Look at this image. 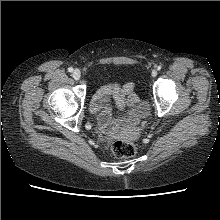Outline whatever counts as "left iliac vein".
I'll return each mask as SVG.
<instances>
[{
	"label": "left iliac vein",
	"instance_id": "4c4485c4",
	"mask_svg": "<svg viewBox=\"0 0 220 220\" xmlns=\"http://www.w3.org/2000/svg\"><path fill=\"white\" fill-rule=\"evenodd\" d=\"M157 75V71L154 69L153 71H152V77H155Z\"/></svg>",
	"mask_w": 220,
	"mask_h": 220
}]
</instances>
